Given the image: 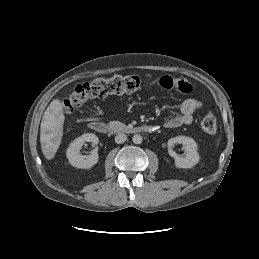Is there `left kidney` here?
Wrapping results in <instances>:
<instances>
[{"instance_id": "1", "label": "left kidney", "mask_w": 259, "mask_h": 259, "mask_svg": "<svg viewBox=\"0 0 259 259\" xmlns=\"http://www.w3.org/2000/svg\"><path fill=\"white\" fill-rule=\"evenodd\" d=\"M183 144L186 151L185 157H180L173 150L175 144ZM168 152L175 159L177 168H191L199 162V154L197 152V144L193 138L187 136H176L168 140Z\"/></svg>"}]
</instances>
